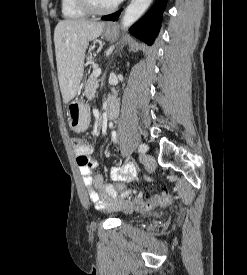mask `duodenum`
I'll use <instances>...</instances> for the list:
<instances>
[{"label":"duodenum","instance_id":"duodenum-1","mask_svg":"<svg viewBox=\"0 0 247 275\" xmlns=\"http://www.w3.org/2000/svg\"><path fill=\"white\" fill-rule=\"evenodd\" d=\"M117 113V105L115 103H109L106 108V117L113 119Z\"/></svg>","mask_w":247,"mask_h":275}]
</instances>
